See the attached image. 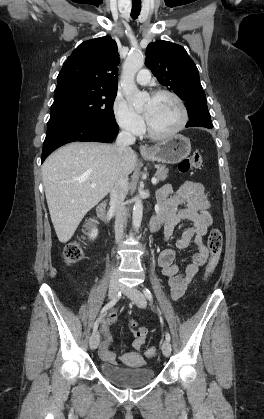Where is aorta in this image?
<instances>
[{"label": "aorta", "instance_id": "obj_1", "mask_svg": "<svg viewBox=\"0 0 264 419\" xmlns=\"http://www.w3.org/2000/svg\"><path fill=\"white\" fill-rule=\"evenodd\" d=\"M144 56L141 53H133L126 58L123 71L121 86L124 91L127 101L134 107L140 108L149 99L147 92H141L135 83L136 73L144 65ZM143 216V204L140 197L134 198L133 206V227L136 231L139 230Z\"/></svg>", "mask_w": 264, "mask_h": 419}]
</instances>
